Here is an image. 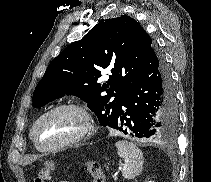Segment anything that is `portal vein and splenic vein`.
<instances>
[{"mask_svg":"<svg viewBox=\"0 0 211 182\" xmlns=\"http://www.w3.org/2000/svg\"><path fill=\"white\" fill-rule=\"evenodd\" d=\"M113 178H114V179H117V176H116V175H113Z\"/></svg>","mask_w":211,"mask_h":182,"instance_id":"18ae733b","label":"portal vein and splenic vein"}]
</instances>
